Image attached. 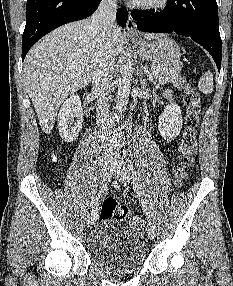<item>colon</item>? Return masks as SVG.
<instances>
[{"mask_svg": "<svg viewBox=\"0 0 233 286\" xmlns=\"http://www.w3.org/2000/svg\"><path fill=\"white\" fill-rule=\"evenodd\" d=\"M184 103L186 106L185 128L182 138L178 145L179 160L175 170L176 185L182 186L188 177L189 169L194 164V154L197 147V132L200 123L201 101L197 91L188 85L184 94ZM100 216L103 219L116 218L121 221H127L132 228L140 229L143 227V221L138 216L131 215L126 206L119 205L114 199H105L102 203Z\"/></svg>", "mask_w": 233, "mask_h": 286, "instance_id": "colon-1", "label": "colon"}]
</instances>
